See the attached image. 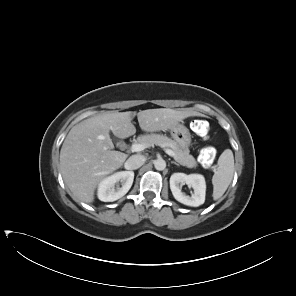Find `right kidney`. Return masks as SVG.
<instances>
[{"instance_id": "1", "label": "right kidney", "mask_w": 296, "mask_h": 296, "mask_svg": "<svg viewBox=\"0 0 296 296\" xmlns=\"http://www.w3.org/2000/svg\"><path fill=\"white\" fill-rule=\"evenodd\" d=\"M134 180L133 171L116 172L104 178L98 185L97 196L103 202H113L123 197L131 188ZM122 183V187L115 189L117 182Z\"/></svg>"}]
</instances>
